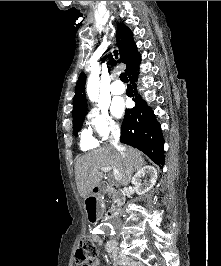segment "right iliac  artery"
<instances>
[{"label":"right iliac artery","mask_w":221,"mask_h":266,"mask_svg":"<svg viewBox=\"0 0 221 266\" xmlns=\"http://www.w3.org/2000/svg\"><path fill=\"white\" fill-rule=\"evenodd\" d=\"M94 234H101V230H95L93 231Z\"/></svg>","instance_id":"82829eb1"}]
</instances>
